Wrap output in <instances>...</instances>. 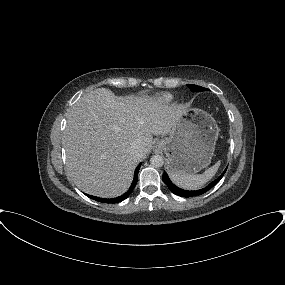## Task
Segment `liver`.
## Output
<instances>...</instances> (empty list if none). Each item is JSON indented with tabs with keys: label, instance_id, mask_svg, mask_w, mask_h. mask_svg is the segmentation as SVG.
Listing matches in <instances>:
<instances>
[{
	"label": "liver",
	"instance_id": "liver-1",
	"mask_svg": "<svg viewBox=\"0 0 285 285\" xmlns=\"http://www.w3.org/2000/svg\"><path fill=\"white\" fill-rule=\"evenodd\" d=\"M151 97H117L98 88L81 97L67 114L64 132L68 176L82 191L112 198L131 185L137 163L152 149L153 135L165 136L185 113ZM141 146L138 157L130 152Z\"/></svg>",
	"mask_w": 285,
	"mask_h": 285
}]
</instances>
